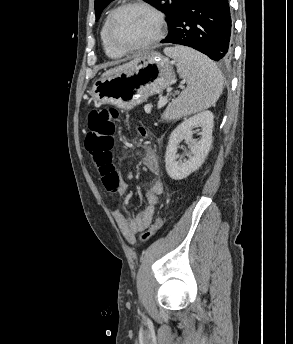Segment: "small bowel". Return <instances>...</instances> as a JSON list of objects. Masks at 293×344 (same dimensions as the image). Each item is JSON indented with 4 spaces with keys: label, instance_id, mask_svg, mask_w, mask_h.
I'll return each mask as SVG.
<instances>
[{
    "label": "small bowel",
    "instance_id": "obj_1",
    "mask_svg": "<svg viewBox=\"0 0 293 344\" xmlns=\"http://www.w3.org/2000/svg\"><path fill=\"white\" fill-rule=\"evenodd\" d=\"M138 155H140L141 162L145 168L155 176L150 188L145 193L147 207L135 217H127L121 210H115L113 212L114 220L116 221L121 233L131 244L135 242V235L146 229L151 223L159 196L163 192V184L158 177L160 173L159 162L154 151L149 147H145L143 151L138 152ZM99 172L102 181L103 178H105L108 184H117L118 194L125 195L128 193V183L119 176L114 165L101 167L99 168Z\"/></svg>",
    "mask_w": 293,
    "mask_h": 344
}]
</instances>
